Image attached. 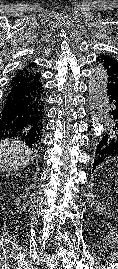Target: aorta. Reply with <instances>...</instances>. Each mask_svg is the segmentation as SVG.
I'll return each mask as SVG.
<instances>
[{"label":"aorta","mask_w":118,"mask_h":269,"mask_svg":"<svg viewBox=\"0 0 118 269\" xmlns=\"http://www.w3.org/2000/svg\"><path fill=\"white\" fill-rule=\"evenodd\" d=\"M107 75L103 67L92 69L89 79V104L92 125L97 134L103 132L106 122Z\"/></svg>","instance_id":"762f6f07"}]
</instances>
